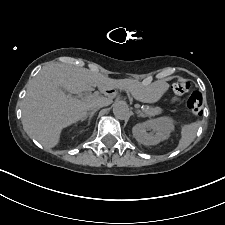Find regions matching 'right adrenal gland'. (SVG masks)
Returning a JSON list of instances; mask_svg holds the SVG:
<instances>
[{
  "label": "right adrenal gland",
  "mask_w": 225,
  "mask_h": 225,
  "mask_svg": "<svg viewBox=\"0 0 225 225\" xmlns=\"http://www.w3.org/2000/svg\"><path fill=\"white\" fill-rule=\"evenodd\" d=\"M97 110L98 109L87 113L86 117L82 121H85L88 118V125H90L91 119H92L93 115L96 113Z\"/></svg>",
  "instance_id": "2a0ac1e0"
}]
</instances>
